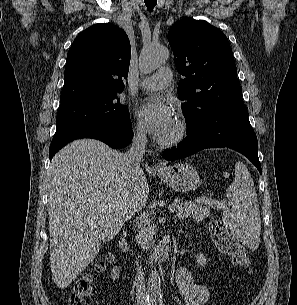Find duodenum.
<instances>
[{
    "label": "duodenum",
    "mask_w": 297,
    "mask_h": 305,
    "mask_svg": "<svg viewBox=\"0 0 297 305\" xmlns=\"http://www.w3.org/2000/svg\"><path fill=\"white\" fill-rule=\"evenodd\" d=\"M119 246L124 254H126L131 258L139 260V258L135 255V253L131 249V246L126 236V232H123L119 240ZM173 249H174V244L171 240L169 239L163 240L159 244L157 251L152 256L151 259L152 263L154 265H160Z\"/></svg>",
    "instance_id": "410a0bca"
}]
</instances>
